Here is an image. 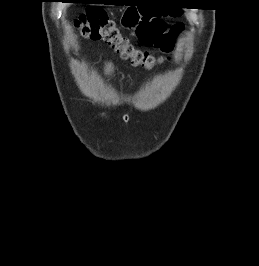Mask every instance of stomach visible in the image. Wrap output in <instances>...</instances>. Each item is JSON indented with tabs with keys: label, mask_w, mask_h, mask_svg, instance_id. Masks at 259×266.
<instances>
[{
	"label": "stomach",
	"mask_w": 259,
	"mask_h": 266,
	"mask_svg": "<svg viewBox=\"0 0 259 266\" xmlns=\"http://www.w3.org/2000/svg\"><path fill=\"white\" fill-rule=\"evenodd\" d=\"M122 24L128 28H134L136 26L135 16L129 9L125 11L122 17Z\"/></svg>",
	"instance_id": "0dacf381"
}]
</instances>
